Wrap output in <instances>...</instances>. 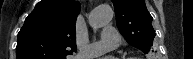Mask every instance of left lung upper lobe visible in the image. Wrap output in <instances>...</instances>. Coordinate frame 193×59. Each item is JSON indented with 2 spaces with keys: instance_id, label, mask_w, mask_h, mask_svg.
Instances as JSON below:
<instances>
[{
  "instance_id": "1",
  "label": "left lung upper lobe",
  "mask_w": 193,
  "mask_h": 59,
  "mask_svg": "<svg viewBox=\"0 0 193 59\" xmlns=\"http://www.w3.org/2000/svg\"><path fill=\"white\" fill-rule=\"evenodd\" d=\"M116 14V25L126 41L143 53L152 50L156 35L144 0H112Z\"/></svg>"
}]
</instances>
